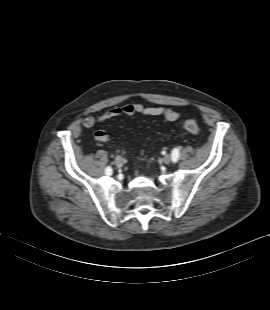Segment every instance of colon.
Segmentation results:
<instances>
[{
  "label": "colon",
  "instance_id": "colon-1",
  "mask_svg": "<svg viewBox=\"0 0 270 310\" xmlns=\"http://www.w3.org/2000/svg\"><path fill=\"white\" fill-rule=\"evenodd\" d=\"M183 129L192 135H198L200 133V127L198 123L193 119H186L183 122Z\"/></svg>",
  "mask_w": 270,
  "mask_h": 310
}]
</instances>
